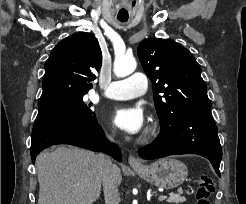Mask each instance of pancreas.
<instances>
[{"instance_id":"obj_1","label":"pancreas","mask_w":246,"mask_h":204,"mask_svg":"<svg viewBox=\"0 0 246 204\" xmlns=\"http://www.w3.org/2000/svg\"><path fill=\"white\" fill-rule=\"evenodd\" d=\"M167 201L169 203L179 204V203L185 202L186 201V198L184 196H181L180 193H178V194L171 193L170 194V197L168 198Z\"/></svg>"}]
</instances>
